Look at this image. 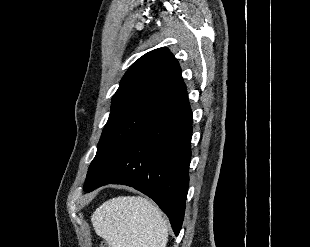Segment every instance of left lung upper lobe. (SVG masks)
Masks as SVG:
<instances>
[{
	"label": "left lung upper lobe",
	"instance_id": "obj_1",
	"mask_svg": "<svg viewBox=\"0 0 310 247\" xmlns=\"http://www.w3.org/2000/svg\"><path fill=\"white\" fill-rule=\"evenodd\" d=\"M186 95L179 63L168 49L152 50L135 61L112 97L111 113L84 191L104 176L150 124Z\"/></svg>",
	"mask_w": 310,
	"mask_h": 247
}]
</instances>
